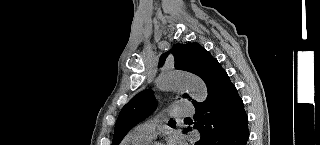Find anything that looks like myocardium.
I'll use <instances>...</instances> for the list:
<instances>
[{
	"instance_id": "myocardium-1",
	"label": "myocardium",
	"mask_w": 320,
	"mask_h": 145,
	"mask_svg": "<svg viewBox=\"0 0 320 145\" xmlns=\"http://www.w3.org/2000/svg\"><path fill=\"white\" fill-rule=\"evenodd\" d=\"M147 145H160L158 142H149Z\"/></svg>"
}]
</instances>
